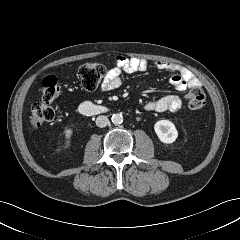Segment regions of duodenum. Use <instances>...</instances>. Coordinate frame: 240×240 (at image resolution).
<instances>
[{
  "mask_svg": "<svg viewBox=\"0 0 240 240\" xmlns=\"http://www.w3.org/2000/svg\"><path fill=\"white\" fill-rule=\"evenodd\" d=\"M103 111V107L93 103L92 101H85L79 106V112L84 115L97 114Z\"/></svg>",
  "mask_w": 240,
  "mask_h": 240,
  "instance_id": "410a0bca",
  "label": "duodenum"
}]
</instances>
